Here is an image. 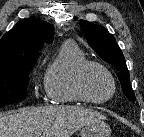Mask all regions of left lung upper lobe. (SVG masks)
Listing matches in <instances>:
<instances>
[{
	"label": "left lung upper lobe",
	"instance_id": "left-lung-upper-lobe-1",
	"mask_svg": "<svg viewBox=\"0 0 144 137\" xmlns=\"http://www.w3.org/2000/svg\"><path fill=\"white\" fill-rule=\"evenodd\" d=\"M80 27L91 47L105 61L112 64L117 70L122 89L130 101H135L136 97L130 86L129 72L124 55L111 34L100 25H95L86 20H80Z\"/></svg>",
	"mask_w": 144,
	"mask_h": 137
}]
</instances>
